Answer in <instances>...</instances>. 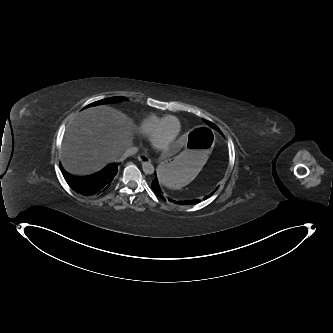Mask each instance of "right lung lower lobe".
I'll use <instances>...</instances> for the list:
<instances>
[{"instance_id":"1","label":"right lung lower lobe","mask_w":333,"mask_h":333,"mask_svg":"<svg viewBox=\"0 0 333 333\" xmlns=\"http://www.w3.org/2000/svg\"><path fill=\"white\" fill-rule=\"evenodd\" d=\"M117 172L118 167L115 163L109 164L101 171L85 177L73 176L62 169L68 185L83 196L99 195L107 191L112 185Z\"/></svg>"}]
</instances>
